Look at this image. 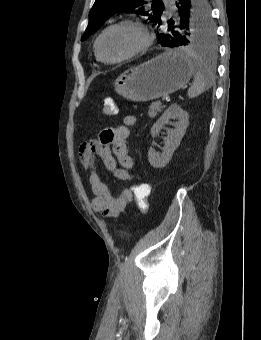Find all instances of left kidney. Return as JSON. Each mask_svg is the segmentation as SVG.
<instances>
[{
    "label": "left kidney",
    "instance_id": "left-kidney-1",
    "mask_svg": "<svg viewBox=\"0 0 261 340\" xmlns=\"http://www.w3.org/2000/svg\"><path fill=\"white\" fill-rule=\"evenodd\" d=\"M170 119H177L175 129H167V137L164 138V147L161 155L156 153L153 147L149 148L148 161L154 168L165 167L172 158L176 148L180 145L186 129L189 125V115L179 105L172 104L151 128L152 137L159 135L161 129L170 123ZM155 142H153V145Z\"/></svg>",
    "mask_w": 261,
    "mask_h": 340
}]
</instances>
